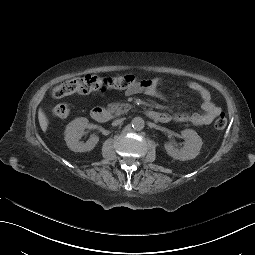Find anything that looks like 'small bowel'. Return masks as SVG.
<instances>
[{
	"instance_id": "obj_1",
	"label": "small bowel",
	"mask_w": 255,
	"mask_h": 255,
	"mask_svg": "<svg viewBox=\"0 0 255 255\" xmlns=\"http://www.w3.org/2000/svg\"><path fill=\"white\" fill-rule=\"evenodd\" d=\"M161 84L162 81L158 78L141 79L135 85L128 88L126 94L132 95L140 92H145L151 96H159L158 87ZM187 86L191 91L200 97L202 111L192 114H174L171 116V120L178 123L189 122L196 126L210 124L221 113V108L213 102L210 92L197 82L189 81Z\"/></svg>"
}]
</instances>
